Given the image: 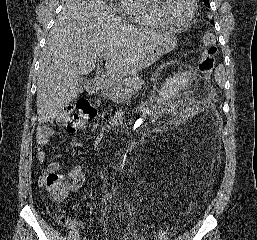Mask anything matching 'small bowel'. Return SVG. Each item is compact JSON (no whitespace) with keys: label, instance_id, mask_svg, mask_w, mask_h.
Returning <instances> with one entry per match:
<instances>
[{"label":"small bowel","instance_id":"small-bowel-1","mask_svg":"<svg viewBox=\"0 0 257 240\" xmlns=\"http://www.w3.org/2000/svg\"><path fill=\"white\" fill-rule=\"evenodd\" d=\"M69 130L72 131L70 128ZM51 136L52 134L50 131H44L41 129L37 135L38 145L42 146L48 143ZM37 157L40 162H43L46 159V153L43 150L39 149L37 153ZM58 170H59V163L56 161H52L48 164L46 168V173H53V172H57ZM67 179L70 181V190L74 193L78 192L85 181V175L83 173L82 167L78 165L74 167L72 170H70L67 174ZM84 240H87V239L84 238Z\"/></svg>","mask_w":257,"mask_h":240}]
</instances>
